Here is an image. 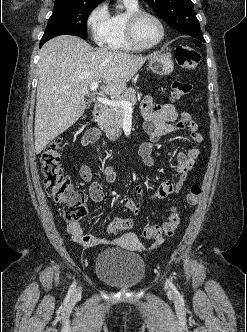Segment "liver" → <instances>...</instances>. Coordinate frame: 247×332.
Masks as SVG:
<instances>
[{
	"label": "liver",
	"mask_w": 247,
	"mask_h": 332,
	"mask_svg": "<svg viewBox=\"0 0 247 332\" xmlns=\"http://www.w3.org/2000/svg\"><path fill=\"white\" fill-rule=\"evenodd\" d=\"M148 57L93 48L72 35L55 37L39 53L35 111L36 154L70 128L86 109L93 82L119 97Z\"/></svg>",
	"instance_id": "1"
}]
</instances>
